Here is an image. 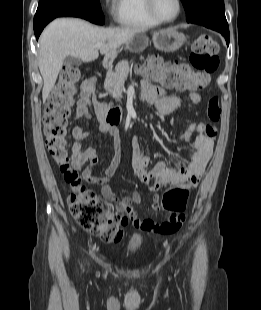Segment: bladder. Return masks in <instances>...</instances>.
<instances>
[{"label": "bladder", "mask_w": 261, "mask_h": 310, "mask_svg": "<svg viewBox=\"0 0 261 310\" xmlns=\"http://www.w3.org/2000/svg\"><path fill=\"white\" fill-rule=\"evenodd\" d=\"M143 241L144 239L141 235L139 234L134 235L128 244V247H127L128 251L130 252L137 251L138 249L141 248Z\"/></svg>", "instance_id": "bladder-1"}]
</instances>
